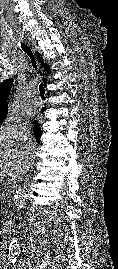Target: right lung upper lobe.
Instances as JSON below:
<instances>
[{
    "label": "right lung upper lobe",
    "instance_id": "cb5924a9",
    "mask_svg": "<svg viewBox=\"0 0 118 269\" xmlns=\"http://www.w3.org/2000/svg\"><path fill=\"white\" fill-rule=\"evenodd\" d=\"M37 56H38V59H39V62L41 64V67H43V74L42 75H48L51 73L50 69H49V66H47L43 59L40 57V54L39 52H37ZM43 81H44V85H46V82H47V78H43ZM12 85H13V79H7L5 81H3L1 84H0V108L3 107V106H7V98H8V95H9V92H10V89L12 88ZM35 123V126L34 128L40 133L41 132V128H40V125L39 123H37L36 121H34Z\"/></svg>",
    "mask_w": 118,
    "mask_h": 269
}]
</instances>
